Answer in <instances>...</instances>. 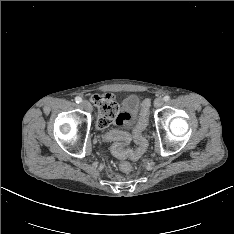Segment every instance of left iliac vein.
<instances>
[{
    "mask_svg": "<svg viewBox=\"0 0 234 234\" xmlns=\"http://www.w3.org/2000/svg\"><path fill=\"white\" fill-rule=\"evenodd\" d=\"M163 103H164L163 98L158 97V98H156L155 101H154V106H155L156 108H159V107H161V106L163 105Z\"/></svg>",
    "mask_w": 234,
    "mask_h": 234,
    "instance_id": "4c4485c4",
    "label": "left iliac vein"
}]
</instances>
